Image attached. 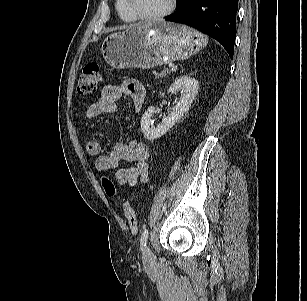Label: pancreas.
<instances>
[{
	"label": "pancreas",
	"instance_id": "pancreas-1",
	"mask_svg": "<svg viewBox=\"0 0 307 301\" xmlns=\"http://www.w3.org/2000/svg\"><path fill=\"white\" fill-rule=\"evenodd\" d=\"M170 72H171L170 69L164 68L161 72H154V75H155L156 79H161V78L165 77L166 74H168Z\"/></svg>",
	"mask_w": 307,
	"mask_h": 301
}]
</instances>
